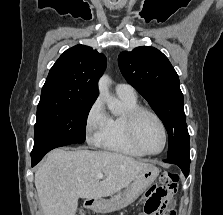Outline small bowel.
<instances>
[{
  "mask_svg": "<svg viewBox=\"0 0 223 215\" xmlns=\"http://www.w3.org/2000/svg\"><path fill=\"white\" fill-rule=\"evenodd\" d=\"M175 191V189H170L166 185H155L150 188L146 193L143 215H156V213L150 210L152 205L163 206V215H175L173 209V194Z\"/></svg>",
  "mask_w": 223,
  "mask_h": 215,
  "instance_id": "c3829d8e",
  "label": "small bowel"
}]
</instances>
